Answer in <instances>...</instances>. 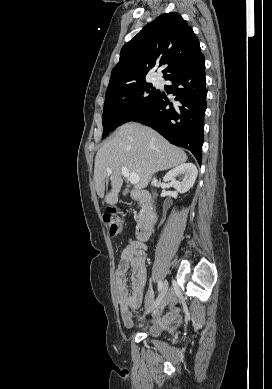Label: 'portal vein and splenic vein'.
Returning <instances> with one entry per match:
<instances>
[{
    "label": "portal vein and splenic vein",
    "mask_w": 272,
    "mask_h": 389,
    "mask_svg": "<svg viewBox=\"0 0 272 389\" xmlns=\"http://www.w3.org/2000/svg\"><path fill=\"white\" fill-rule=\"evenodd\" d=\"M107 172H108L109 174H112V169L108 168V169H107ZM121 173H122V175H123L124 177H127V178L129 179V181L131 182V184H137V183L139 182V180H140L137 173H135V172H130V171L128 170V168L125 167V166L121 168Z\"/></svg>",
    "instance_id": "18ae733b"
}]
</instances>
